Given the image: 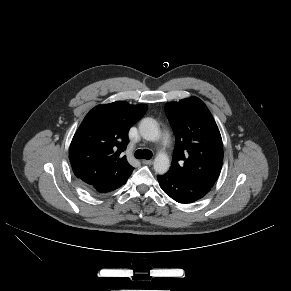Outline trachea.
Here are the masks:
<instances>
[{
	"instance_id": "trachea-1",
	"label": "trachea",
	"mask_w": 291,
	"mask_h": 291,
	"mask_svg": "<svg viewBox=\"0 0 291 291\" xmlns=\"http://www.w3.org/2000/svg\"><path fill=\"white\" fill-rule=\"evenodd\" d=\"M135 157L137 159H146V160H149L152 158V152L148 149H138L136 152H135Z\"/></svg>"
}]
</instances>
